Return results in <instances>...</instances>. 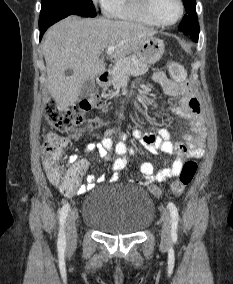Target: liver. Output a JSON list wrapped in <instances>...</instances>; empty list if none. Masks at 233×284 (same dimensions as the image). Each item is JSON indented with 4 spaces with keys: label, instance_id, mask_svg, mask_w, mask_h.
Returning <instances> with one entry per match:
<instances>
[{
    "label": "liver",
    "instance_id": "liver-1",
    "mask_svg": "<svg viewBox=\"0 0 233 284\" xmlns=\"http://www.w3.org/2000/svg\"><path fill=\"white\" fill-rule=\"evenodd\" d=\"M157 31L141 24L108 19L69 16L48 29L43 42L48 91L60 110L72 106L87 79L105 71L100 59L108 46H115L111 57L125 58L136 52ZM73 74L67 76L65 71Z\"/></svg>",
    "mask_w": 233,
    "mask_h": 284
}]
</instances>
